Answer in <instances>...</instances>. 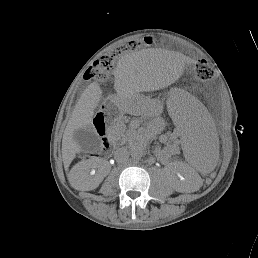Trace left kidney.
<instances>
[{"label": "left kidney", "mask_w": 258, "mask_h": 258, "mask_svg": "<svg viewBox=\"0 0 258 258\" xmlns=\"http://www.w3.org/2000/svg\"><path fill=\"white\" fill-rule=\"evenodd\" d=\"M181 174L185 178L183 181H180V180L177 181L174 185V189L180 193L193 192L195 190L193 173H191L189 168L184 167V170L182 171Z\"/></svg>", "instance_id": "5707ae66"}]
</instances>
